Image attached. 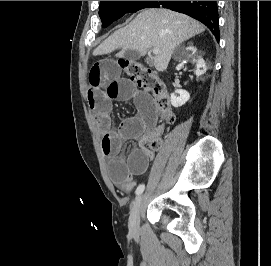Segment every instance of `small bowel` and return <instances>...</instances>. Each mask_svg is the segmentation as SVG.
I'll return each instance as SVG.
<instances>
[{
  "label": "small bowel",
  "mask_w": 271,
  "mask_h": 266,
  "mask_svg": "<svg viewBox=\"0 0 271 266\" xmlns=\"http://www.w3.org/2000/svg\"><path fill=\"white\" fill-rule=\"evenodd\" d=\"M88 81L87 101L94 111L95 128L102 137V150L110 159L111 179L119 189L131 192L136 185L134 178L146 172L153 156L146 144L162 133V128L156 126L151 99L122 78L118 64L112 60L95 63ZM114 100H132L138 110L135 116L124 119L117 127L112 126L111 120ZM128 140H137L138 146L124 157L121 150Z\"/></svg>",
  "instance_id": "obj_1"
}]
</instances>
